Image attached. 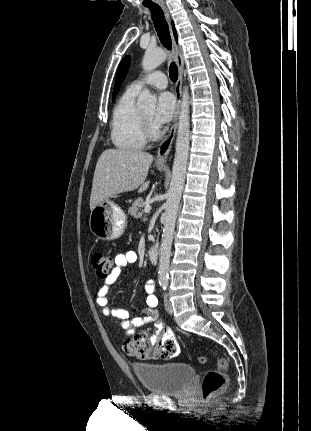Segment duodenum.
<instances>
[{
	"mask_svg": "<svg viewBox=\"0 0 311 431\" xmlns=\"http://www.w3.org/2000/svg\"><path fill=\"white\" fill-rule=\"evenodd\" d=\"M159 256V246L157 243L152 244L148 249V258L151 263H157Z\"/></svg>",
	"mask_w": 311,
	"mask_h": 431,
	"instance_id": "obj_1",
	"label": "duodenum"
}]
</instances>
